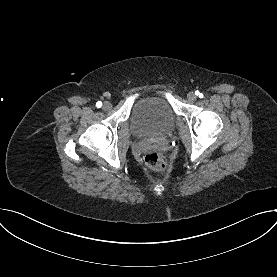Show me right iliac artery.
I'll return each mask as SVG.
<instances>
[{
	"label": "right iliac artery",
	"instance_id": "right-iliac-artery-1",
	"mask_svg": "<svg viewBox=\"0 0 277 277\" xmlns=\"http://www.w3.org/2000/svg\"><path fill=\"white\" fill-rule=\"evenodd\" d=\"M96 106H97L98 108H100V107L102 106V103H101L100 101H98V102L96 103Z\"/></svg>",
	"mask_w": 277,
	"mask_h": 277
}]
</instances>
